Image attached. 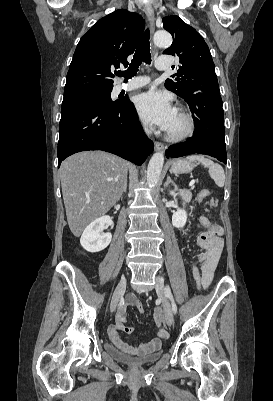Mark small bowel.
<instances>
[{"instance_id": "obj_1", "label": "small bowel", "mask_w": 273, "mask_h": 401, "mask_svg": "<svg viewBox=\"0 0 273 401\" xmlns=\"http://www.w3.org/2000/svg\"><path fill=\"white\" fill-rule=\"evenodd\" d=\"M201 221L204 223V228H219L217 226L209 224L208 218L203 216ZM220 229V228H219ZM221 232V229H220ZM198 247H200L204 253L202 255V277L201 281L204 287H208L214 277L215 269L220 258V255L223 250V241H203L202 234L197 238L196 241ZM138 297L135 294H128L124 300V302L120 305L117 310L114 324H112L108 329V335L110 341L119 349L123 351H130L132 353L143 354V353H155L161 347V342H164L167 339V329L162 327L161 317H165L166 313L161 312L164 310L163 306L155 305L153 310L155 311V323L157 324V334L158 338L152 340L151 342L141 345L139 347L129 346L124 343L119 337V332H124L126 334H130L133 332V328L127 326L126 322V311L129 307L135 306V301ZM160 310V311H159Z\"/></svg>"}]
</instances>
